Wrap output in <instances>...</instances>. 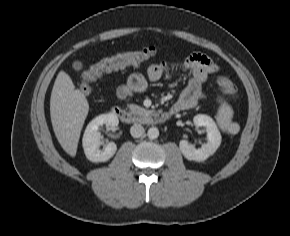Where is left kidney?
Segmentation results:
<instances>
[{
    "mask_svg": "<svg viewBox=\"0 0 290 236\" xmlns=\"http://www.w3.org/2000/svg\"><path fill=\"white\" fill-rule=\"evenodd\" d=\"M193 122L197 127L206 128L207 143L203 144L201 148L196 149L186 140H181L179 148L186 159L200 162L216 152L221 143V134L214 120L207 115H196L193 118Z\"/></svg>",
    "mask_w": 290,
    "mask_h": 236,
    "instance_id": "obj_1",
    "label": "left kidney"
}]
</instances>
